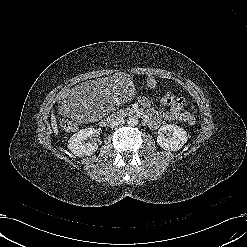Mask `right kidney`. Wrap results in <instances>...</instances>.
<instances>
[{
	"mask_svg": "<svg viewBox=\"0 0 247 247\" xmlns=\"http://www.w3.org/2000/svg\"><path fill=\"white\" fill-rule=\"evenodd\" d=\"M98 134L99 132L94 128L81 129L68 140V149L76 156H89L97 151L98 144L87 141V139Z\"/></svg>",
	"mask_w": 247,
	"mask_h": 247,
	"instance_id": "1",
	"label": "right kidney"
}]
</instances>
